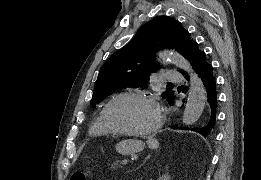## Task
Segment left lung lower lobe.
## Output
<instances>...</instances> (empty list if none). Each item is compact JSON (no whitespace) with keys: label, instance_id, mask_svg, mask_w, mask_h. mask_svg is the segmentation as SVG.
Returning <instances> with one entry per match:
<instances>
[{"label":"left lung lower lobe","instance_id":"1","mask_svg":"<svg viewBox=\"0 0 261 180\" xmlns=\"http://www.w3.org/2000/svg\"><path fill=\"white\" fill-rule=\"evenodd\" d=\"M188 60L191 62L193 69L196 70V73L199 74V77L201 78V81L206 88L207 102L209 107L208 122L204 127L194 129V131L199 132L201 135L206 137L212 132L216 122L218 104L216 79L213 74L212 65L207 62L206 54L205 52L199 50L198 44L192 48ZM181 72L185 75L186 79H189V76L186 72ZM173 100L174 98L169 103L173 104ZM171 128L177 129L178 127L175 124L172 125Z\"/></svg>","mask_w":261,"mask_h":180}]
</instances>
